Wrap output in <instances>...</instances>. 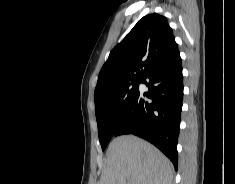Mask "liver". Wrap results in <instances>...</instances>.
<instances>
[{
  "label": "liver",
  "instance_id": "6515ba94",
  "mask_svg": "<svg viewBox=\"0 0 235 184\" xmlns=\"http://www.w3.org/2000/svg\"><path fill=\"white\" fill-rule=\"evenodd\" d=\"M101 184H172L173 166L155 146L136 136L114 138Z\"/></svg>",
  "mask_w": 235,
  "mask_h": 184
}]
</instances>
